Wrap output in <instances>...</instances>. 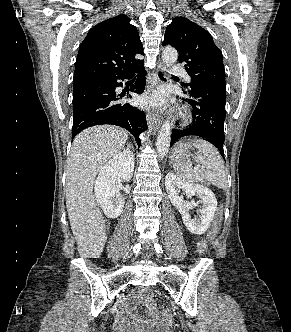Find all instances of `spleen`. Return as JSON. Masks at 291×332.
Here are the masks:
<instances>
[{
  "label": "spleen",
  "mask_w": 291,
  "mask_h": 332,
  "mask_svg": "<svg viewBox=\"0 0 291 332\" xmlns=\"http://www.w3.org/2000/svg\"><path fill=\"white\" fill-rule=\"evenodd\" d=\"M198 149L195 160L206 167V172L192 168L190 162L174 164V170L181 179L187 182H209L218 188L226 189L227 175L223 159L218 150L206 140L198 139L193 142Z\"/></svg>",
  "instance_id": "spleen-1"
}]
</instances>
